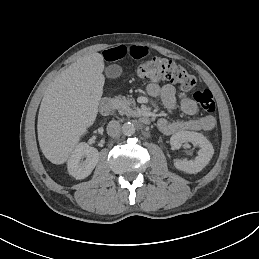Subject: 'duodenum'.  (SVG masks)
<instances>
[{
  "label": "duodenum",
  "instance_id": "obj_1",
  "mask_svg": "<svg viewBox=\"0 0 259 259\" xmlns=\"http://www.w3.org/2000/svg\"><path fill=\"white\" fill-rule=\"evenodd\" d=\"M115 109V105L114 102L111 98L109 97H105L102 98L99 102V111L102 115L107 116L110 115L111 113H113ZM140 121L143 124H150L151 123V119L147 116H142L140 118Z\"/></svg>",
  "mask_w": 259,
  "mask_h": 259
}]
</instances>
